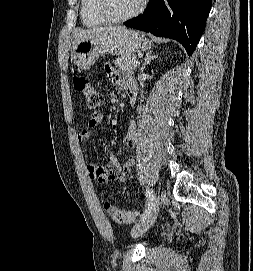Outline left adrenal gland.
Wrapping results in <instances>:
<instances>
[{
  "mask_svg": "<svg viewBox=\"0 0 253 271\" xmlns=\"http://www.w3.org/2000/svg\"><path fill=\"white\" fill-rule=\"evenodd\" d=\"M152 53L153 51H149L146 53V56L144 58V63L142 64V67H141V73H143L146 65L149 64L152 59L157 57V56H153Z\"/></svg>",
  "mask_w": 253,
  "mask_h": 271,
  "instance_id": "a2214340",
  "label": "left adrenal gland"
}]
</instances>
